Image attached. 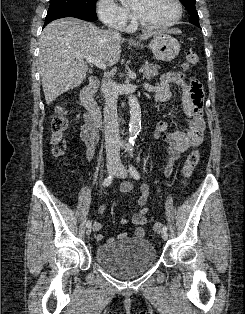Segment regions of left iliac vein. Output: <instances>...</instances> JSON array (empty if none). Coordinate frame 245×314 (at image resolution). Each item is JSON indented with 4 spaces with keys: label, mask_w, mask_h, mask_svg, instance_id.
<instances>
[{
    "label": "left iliac vein",
    "mask_w": 245,
    "mask_h": 314,
    "mask_svg": "<svg viewBox=\"0 0 245 314\" xmlns=\"http://www.w3.org/2000/svg\"><path fill=\"white\" fill-rule=\"evenodd\" d=\"M115 175L119 178H126L127 177V171L121 162H118V164H117V167L115 169ZM161 237L163 240H167L168 239L167 231L163 230L161 232Z\"/></svg>",
    "instance_id": "4c4485c4"
}]
</instances>
